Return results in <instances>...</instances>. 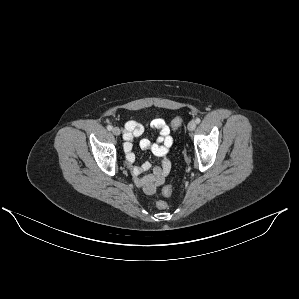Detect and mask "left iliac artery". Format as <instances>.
I'll return each mask as SVG.
<instances>
[{"label": "left iliac artery", "instance_id": "44dca946", "mask_svg": "<svg viewBox=\"0 0 299 299\" xmlns=\"http://www.w3.org/2000/svg\"><path fill=\"white\" fill-rule=\"evenodd\" d=\"M195 122L199 124L201 122L200 118H196Z\"/></svg>", "mask_w": 299, "mask_h": 299}]
</instances>
